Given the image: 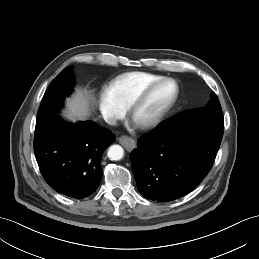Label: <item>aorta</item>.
<instances>
[{"mask_svg": "<svg viewBox=\"0 0 259 259\" xmlns=\"http://www.w3.org/2000/svg\"><path fill=\"white\" fill-rule=\"evenodd\" d=\"M124 150L120 145H113L108 150V157L111 160H120L123 158Z\"/></svg>", "mask_w": 259, "mask_h": 259, "instance_id": "762f6f07", "label": "aorta"}]
</instances>
